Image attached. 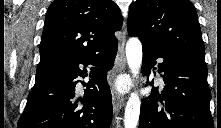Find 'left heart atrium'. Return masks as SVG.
Listing matches in <instances>:
<instances>
[{"label": "left heart atrium", "instance_id": "39dd6f15", "mask_svg": "<svg viewBox=\"0 0 221 128\" xmlns=\"http://www.w3.org/2000/svg\"><path fill=\"white\" fill-rule=\"evenodd\" d=\"M119 85H120L121 87H123V86H124V84H123V83H120Z\"/></svg>", "mask_w": 221, "mask_h": 128}]
</instances>
